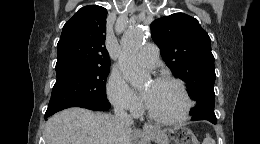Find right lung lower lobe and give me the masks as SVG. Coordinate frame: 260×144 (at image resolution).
Listing matches in <instances>:
<instances>
[{"label":"right lung lower lobe","mask_w":260,"mask_h":144,"mask_svg":"<svg viewBox=\"0 0 260 144\" xmlns=\"http://www.w3.org/2000/svg\"><path fill=\"white\" fill-rule=\"evenodd\" d=\"M110 103L109 102H103V103H99V104H93L90 106H86L84 108L90 109V110H94V111H106L110 108ZM63 110V109H60ZM60 110H55V111H51V112H47L45 114V119H47L49 116L53 115L54 113L60 111Z\"/></svg>","instance_id":"1"}]
</instances>
